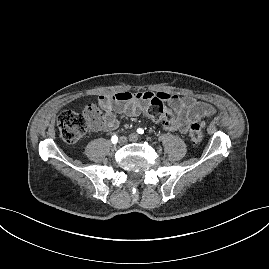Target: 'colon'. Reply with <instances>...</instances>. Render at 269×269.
I'll return each instance as SVG.
<instances>
[{"label": "colon", "instance_id": "obj_1", "mask_svg": "<svg viewBox=\"0 0 269 269\" xmlns=\"http://www.w3.org/2000/svg\"><path fill=\"white\" fill-rule=\"evenodd\" d=\"M145 116L151 119H167L172 116V111L166 106L159 96L151 99L143 110ZM99 114L95 106H89L83 113L72 110L61 112L57 117V126L60 137L68 143L78 141L89 129L96 128ZM189 137L192 143L200 144L203 140V126L193 123L189 129Z\"/></svg>", "mask_w": 269, "mask_h": 269}]
</instances>
